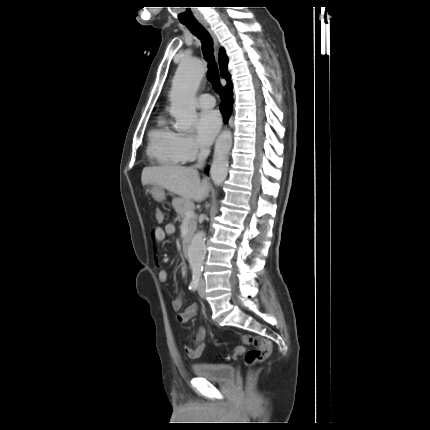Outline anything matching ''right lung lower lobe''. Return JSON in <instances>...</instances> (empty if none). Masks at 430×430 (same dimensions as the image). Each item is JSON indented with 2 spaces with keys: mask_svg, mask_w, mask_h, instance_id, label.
Returning <instances> with one entry per match:
<instances>
[{
  "mask_svg": "<svg viewBox=\"0 0 430 430\" xmlns=\"http://www.w3.org/2000/svg\"><path fill=\"white\" fill-rule=\"evenodd\" d=\"M232 88H233L232 84L225 86L221 94L222 103H221L220 109H221V112H223L225 122H227L232 112V106H233Z\"/></svg>",
  "mask_w": 430,
  "mask_h": 430,
  "instance_id": "1",
  "label": "right lung lower lobe"
}]
</instances>
